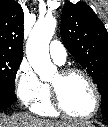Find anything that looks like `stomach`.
Listing matches in <instances>:
<instances>
[{
    "label": "stomach",
    "mask_w": 108,
    "mask_h": 127,
    "mask_svg": "<svg viewBox=\"0 0 108 127\" xmlns=\"http://www.w3.org/2000/svg\"><path fill=\"white\" fill-rule=\"evenodd\" d=\"M87 127H94V125H90V126H87Z\"/></svg>",
    "instance_id": "stomach-1"
}]
</instances>
